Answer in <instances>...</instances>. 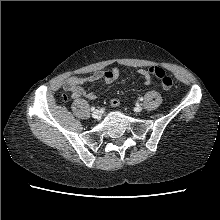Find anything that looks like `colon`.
<instances>
[{"mask_svg": "<svg viewBox=\"0 0 220 220\" xmlns=\"http://www.w3.org/2000/svg\"><path fill=\"white\" fill-rule=\"evenodd\" d=\"M147 73L149 76H153L157 78L162 86L163 89L169 90L172 85L173 81L169 75L166 74V72L159 68V67H149L147 68ZM120 104V99L119 98H114L111 100V105L113 107H117Z\"/></svg>", "mask_w": 220, "mask_h": 220, "instance_id": "1", "label": "colon"}]
</instances>
